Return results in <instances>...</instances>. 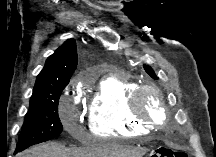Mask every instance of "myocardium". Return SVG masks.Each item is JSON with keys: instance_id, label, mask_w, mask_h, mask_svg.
Instances as JSON below:
<instances>
[{"instance_id": "1", "label": "myocardium", "mask_w": 216, "mask_h": 157, "mask_svg": "<svg viewBox=\"0 0 216 157\" xmlns=\"http://www.w3.org/2000/svg\"><path fill=\"white\" fill-rule=\"evenodd\" d=\"M149 93L155 96V99L160 107L161 116L159 119L155 118L150 112H148L145 105V100ZM130 110L136 118L153 126L159 127L166 123L168 110L164 102V95L163 92L154 85H142L136 89L130 100ZM160 120H162V122H160Z\"/></svg>"}]
</instances>
